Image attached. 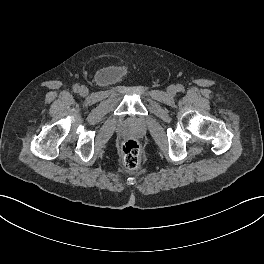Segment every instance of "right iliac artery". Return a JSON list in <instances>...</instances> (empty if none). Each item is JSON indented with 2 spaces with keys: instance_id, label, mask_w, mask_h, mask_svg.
<instances>
[{
  "instance_id": "82829eb1",
  "label": "right iliac artery",
  "mask_w": 264,
  "mask_h": 264,
  "mask_svg": "<svg viewBox=\"0 0 264 264\" xmlns=\"http://www.w3.org/2000/svg\"><path fill=\"white\" fill-rule=\"evenodd\" d=\"M79 90H80V86L78 84L73 86V91L74 92H79Z\"/></svg>"
}]
</instances>
